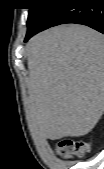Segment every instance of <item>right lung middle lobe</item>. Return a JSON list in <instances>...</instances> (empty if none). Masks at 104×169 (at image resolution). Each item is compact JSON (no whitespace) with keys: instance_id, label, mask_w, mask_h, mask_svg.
Returning <instances> with one entry per match:
<instances>
[{"instance_id":"dd1d6c3e","label":"right lung middle lobe","mask_w":104,"mask_h":169,"mask_svg":"<svg viewBox=\"0 0 104 169\" xmlns=\"http://www.w3.org/2000/svg\"><path fill=\"white\" fill-rule=\"evenodd\" d=\"M29 15L27 20V33L36 30L45 19L55 10V0H30Z\"/></svg>"}]
</instances>
